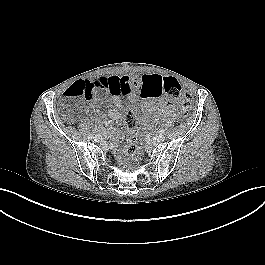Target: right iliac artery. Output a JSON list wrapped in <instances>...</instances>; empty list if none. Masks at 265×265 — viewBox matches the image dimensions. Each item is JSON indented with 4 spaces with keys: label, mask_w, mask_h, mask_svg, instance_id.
Returning <instances> with one entry per match:
<instances>
[{
    "label": "right iliac artery",
    "mask_w": 265,
    "mask_h": 265,
    "mask_svg": "<svg viewBox=\"0 0 265 265\" xmlns=\"http://www.w3.org/2000/svg\"><path fill=\"white\" fill-rule=\"evenodd\" d=\"M88 138H89V139H93V138H94V135H93V134H89V135H88Z\"/></svg>",
    "instance_id": "1"
}]
</instances>
